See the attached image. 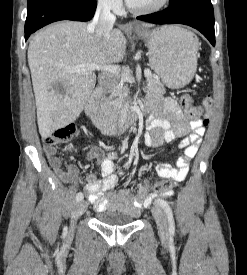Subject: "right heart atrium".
<instances>
[{"label":"right heart atrium","mask_w":247,"mask_h":275,"mask_svg":"<svg viewBox=\"0 0 247 275\" xmlns=\"http://www.w3.org/2000/svg\"><path fill=\"white\" fill-rule=\"evenodd\" d=\"M100 7L107 11L119 12L123 7V0H97Z\"/></svg>","instance_id":"right-heart-atrium-1"}]
</instances>
